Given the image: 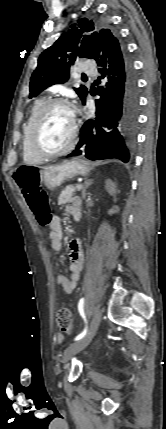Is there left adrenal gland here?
<instances>
[{
    "label": "left adrenal gland",
    "mask_w": 166,
    "mask_h": 429,
    "mask_svg": "<svg viewBox=\"0 0 166 429\" xmlns=\"http://www.w3.org/2000/svg\"><path fill=\"white\" fill-rule=\"evenodd\" d=\"M93 183V180H85L84 182V188L82 190V198L85 199L86 198V189Z\"/></svg>",
    "instance_id": "obj_1"
}]
</instances>
